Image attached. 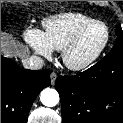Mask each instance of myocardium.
Segmentation results:
<instances>
[{"label": "myocardium", "instance_id": "obj_1", "mask_svg": "<svg viewBox=\"0 0 123 123\" xmlns=\"http://www.w3.org/2000/svg\"><path fill=\"white\" fill-rule=\"evenodd\" d=\"M96 25H100L105 29L106 32V36L105 39L103 41V43L101 44V46L98 48V50L87 60L83 61V62H73L70 58L71 52L73 51V49L76 47V45L79 43V41L81 40V38L83 37V35L90 30L92 27L96 26ZM110 40V31L109 28L107 27V25L102 22V21H93L89 24H87L86 26L82 27L72 38L71 40L66 44V46L63 48L62 50V61L64 63V65L73 71H80V70H84L87 69L88 67H90L91 65H93L98 58L101 56V54L104 52V50L106 49L108 43Z\"/></svg>", "mask_w": 123, "mask_h": 123}]
</instances>
